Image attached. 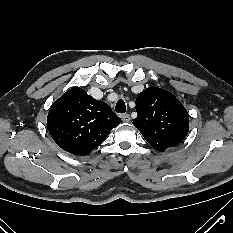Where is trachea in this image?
Segmentation results:
<instances>
[{"instance_id":"trachea-1","label":"trachea","mask_w":233,"mask_h":233,"mask_svg":"<svg viewBox=\"0 0 233 233\" xmlns=\"http://www.w3.org/2000/svg\"><path fill=\"white\" fill-rule=\"evenodd\" d=\"M115 110H116L117 113H121V114L126 112V105H125V102L122 99H120L117 102Z\"/></svg>"}]
</instances>
